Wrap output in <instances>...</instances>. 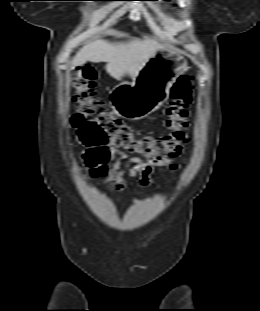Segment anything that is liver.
Wrapping results in <instances>:
<instances>
[{
	"instance_id": "6515ba94",
	"label": "liver",
	"mask_w": 260,
	"mask_h": 311,
	"mask_svg": "<svg viewBox=\"0 0 260 311\" xmlns=\"http://www.w3.org/2000/svg\"><path fill=\"white\" fill-rule=\"evenodd\" d=\"M126 37L129 38L127 41L95 40L85 44L73 58L72 68L87 61L106 62L105 68L111 77L115 79H121L126 75L136 77L146 62L164 47L151 38Z\"/></svg>"
}]
</instances>
